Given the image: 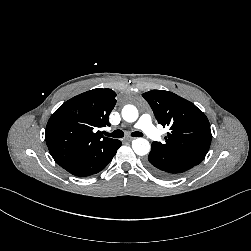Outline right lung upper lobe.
I'll use <instances>...</instances> for the list:
<instances>
[{
	"mask_svg": "<svg viewBox=\"0 0 251 251\" xmlns=\"http://www.w3.org/2000/svg\"><path fill=\"white\" fill-rule=\"evenodd\" d=\"M115 97L111 89H93L66 101L50 117L45 139L57 164L68 168L115 141L97 131L110 126L109 115L116 104Z\"/></svg>",
	"mask_w": 251,
	"mask_h": 251,
	"instance_id": "obj_1",
	"label": "right lung upper lobe"
}]
</instances>
